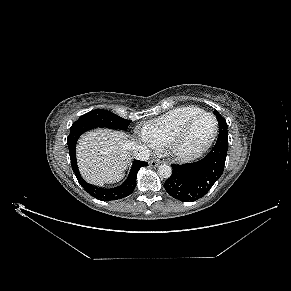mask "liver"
Masks as SVG:
<instances>
[{
	"label": "liver",
	"instance_id": "6515ba94",
	"mask_svg": "<svg viewBox=\"0 0 291 291\" xmlns=\"http://www.w3.org/2000/svg\"><path fill=\"white\" fill-rule=\"evenodd\" d=\"M129 143L124 132L96 129L84 134L77 146L82 176L100 186L119 181L130 162Z\"/></svg>",
	"mask_w": 291,
	"mask_h": 291
}]
</instances>
